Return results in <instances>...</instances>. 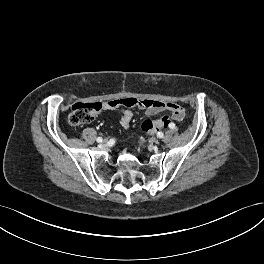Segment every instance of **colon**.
Returning a JSON list of instances; mask_svg holds the SVG:
<instances>
[{
  "mask_svg": "<svg viewBox=\"0 0 264 264\" xmlns=\"http://www.w3.org/2000/svg\"><path fill=\"white\" fill-rule=\"evenodd\" d=\"M135 101L132 98H119L109 101L108 103H75L71 107L69 114V122L72 125H83L91 122L95 116L106 107H120V106H133ZM170 119L166 115H161L156 119L145 120L142 123V130L146 134H155L161 129L167 128Z\"/></svg>",
  "mask_w": 264,
  "mask_h": 264,
  "instance_id": "colon-1",
  "label": "colon"
}]
</instances>
